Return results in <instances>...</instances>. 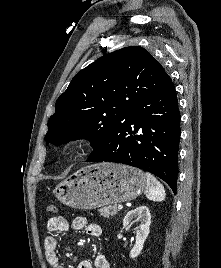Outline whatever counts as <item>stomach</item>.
<instances>
[{"label":"stomach","instance_id":"stomach-1","mask_svg":"<svg viewBox=\"0 0 221 268\" xmlns=\"http://www.w3.org/2000/svg\"><path fill=\"white\" fill-rule=\"evenodd\" d=\"M146 188V175L139 169L115 163L83 167L59 183L55 196L76 209H95L138 197Z\"/></svg>","mask_w":221,"mask_h":268}]
</instances>
